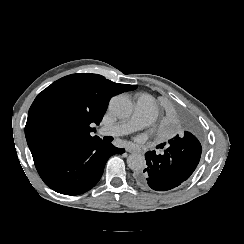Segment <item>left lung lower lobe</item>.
Returning <instances> with one entry per match:
<instances>
[{
  "label": "left lung lower lobe",
  "instance_id": "1",
  "mask_svg": "<svg viewBox=\"0 0 244 244\" xmlns=\"http://www.w3.org/2000/svg\"><path fill=\"white\" fill-rule=\"evenodd\" d=\"M184 131L169 140L164 154L155 151L145 154L147 168L136 174L137 182L143 187L166 191L179 186L196 169L202 147L197 139V131L192 122L184 124Z\"/></svg>",
  "mask_w": 244,
  "mask_h": 244
}]
</instances>
